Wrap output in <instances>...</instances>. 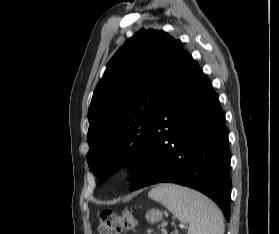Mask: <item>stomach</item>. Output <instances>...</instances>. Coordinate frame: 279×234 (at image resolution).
<instances>
[{
	"mask_svg": "<svg viewBox=\"0 0 279 234\" xmlns=\"http://www.w3.org/2000/svg\"><path fill=\"white\" fill-rule=\"evenodd\" d=\"M162 218V212L159 210H150L149 212L146 213V219L150 222V223H154L159 221Z\"/></svg>",
	"mask_w": 279,
	"mask_h": 234,
	"instance_id": "obj_1",
	"label": "stomach"
}]
</instances>
